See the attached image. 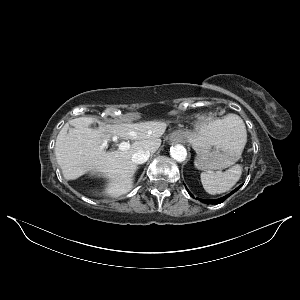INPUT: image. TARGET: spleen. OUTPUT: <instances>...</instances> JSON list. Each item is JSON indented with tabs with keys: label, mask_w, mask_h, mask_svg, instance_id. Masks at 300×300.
I'll return each instance as SVG.
<instances>
[{
	"label": "spleen",
	"mask_w": 300,
	"mask_h": 300,
	"mask_svg": "<svg viewBox=\"0 0 300 300\" xmlns=\"http://www.w3.org/2000/svg\"><path fill=\"white\" fill-rule=\"evenodd\" d=\"M225 118L234 122L237 130L244 137L243 142L245 145L247 141V133L243 120L235 114H229ZM241 174L242 166L237 164L224 172H202L200 177L205 191L209 194L215 195L230 190L239 181Z\"/></svg>",
	"instance_id": "3e777b00"
}]
</instances>
